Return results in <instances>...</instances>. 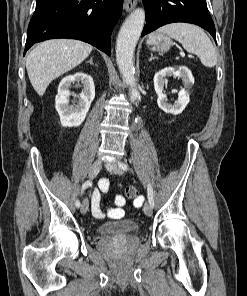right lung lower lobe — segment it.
Instances as JSON below:
<instances>
[{
	"instance_id": "1",
	"label": "right lung lower lobe",
	"mask_w": 247,
	"mask_h": 296,
	"mask_svg": "<svg viewBox=\"0 0 247 296\" xmlns=\"http://www.w3.org/2000/svg\"><path fill=\"white\" fill-rule=\"evenodd\" d=\"M122 5L123 0H37L24 54L37 42L72 38L90 43L110 56L111 33Z\"/></svg>"
}]
</instances>
